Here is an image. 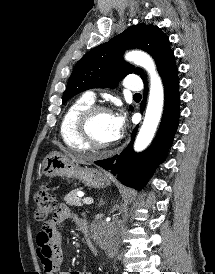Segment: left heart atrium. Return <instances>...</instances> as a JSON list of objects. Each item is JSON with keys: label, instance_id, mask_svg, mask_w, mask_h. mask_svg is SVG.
Masks as SVG:
<instances>
[{"label": "left heart atrium", "instance_id": "left-heart-atrium-1", "mask_svg": "<svg viewBox=\"0 0 215 274\" xmlns=\"http://www.w3.org/2000/svg\"><path fill=\"white\" fill-rule=\"evenodd\" d=\"M112 126L115 134V139H117L125 126V116L123 113H117L112 115Z\"/></svg>", "mask_w": 215, "mask_h": 274}]
</instances>
